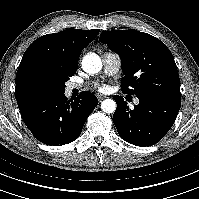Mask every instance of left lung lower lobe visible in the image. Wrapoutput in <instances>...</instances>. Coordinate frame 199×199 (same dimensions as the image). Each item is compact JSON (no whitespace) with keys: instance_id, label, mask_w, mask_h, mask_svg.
<instances>
[{"instance_id":"0a47b994","label":"left lung lower lobe","mask_w":199,"mask_h":199,"mask_svg":"<svg viewBox=\"0 0 199 199\" xmlns=\"http://www.w3.org/2000/svg\"><path fill=\"white\" fill-rule=\"evenodd\" d=\"M139 104L129 109L120 96H114L117 109L113 122L122 139L136 146L159 142L172 127L181 106V97L141 94Z\"/></svg>"}]
</instances>
